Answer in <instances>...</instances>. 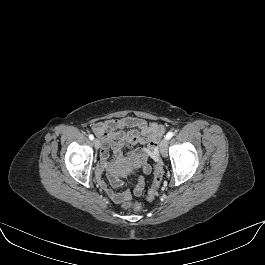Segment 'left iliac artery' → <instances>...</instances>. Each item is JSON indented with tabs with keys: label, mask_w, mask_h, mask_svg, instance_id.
Masks as SVG:
<instances>
[{
	"label": "left iliac artery",
	"mask_w": 265,
	"mask_h": 265,
	"mask_svg": "<svg viewBox=\"0 0 265 265\" xmlns=\"http://www.w3.org/2000/svg\"><path fill=\"white\" fill-rule=\"evenodd\" d=\"M174 136V133L172 131L168 132L165 136V139L169 140Z\"/></svg>",
	"instance_id": "left-iliac-artery-1"
}]
</instances>
